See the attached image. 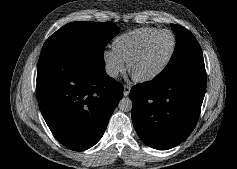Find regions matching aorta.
Masks as SVG:
<instances>
[{
	"mask_svg": "<svg viewBox=\"0 0 237 169\" xmlns=\"http://www.w3.org/2000/svg\"><path fill=\"white\" fill-rule=\"evenodd\" d=\"M132 101L130 98H122L120 101H119V104H118V108L120 111L122 112H129L132 110Z\"/></svg>",
	"mask_w": 237,
	"mask_h": 169,
	"instance_id": "obj_1",
	"label": "aorta"
}]
</instances>
